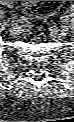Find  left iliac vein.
<instances>
[{
  "label": "left iliac vein",
  "instance_id": "left-iliac-vein-1",
  "mask_svg": "<svg viewBox=\"0 0 74 122\" xmlns=\"http://www.w3.org/2000/svg\"><path fill=\"white\" fill-rule=\"evenodd\" d=\"M69 19H70V16L69 15H64L63 17H62V22L63 23H65V22H68L69 21ZM60 35L61 36H65L66 34H67V32H68V27L67 26H63L61 29H60Z\"/></svg>",
  "mask_w": 74,
  "mask_h": 122
}]
</instances>
